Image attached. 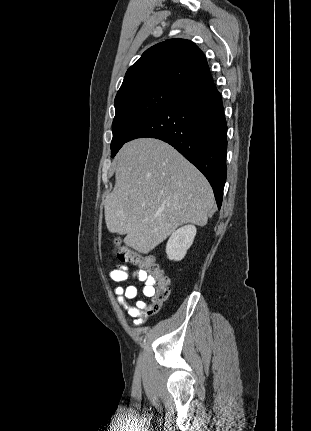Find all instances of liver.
<instances>
[{
  "label": "liver",
  "instance_id": "1",
  "mask_svg": "<svg viewBox=\"0 0 311 431\" xmlns=\"http://www.w3.org/2000/svg\"><path fill=\"white\" fill-rule=\"evenodd\" d=\"M117 158L104 216L111 233L125 235V245L149 253L178 225H206L215 204L213 190L172 146L140 138L125 144Z\"/></svg>",
  "mask_w": 311,
  "mask_h": 431
}]
</instances>
